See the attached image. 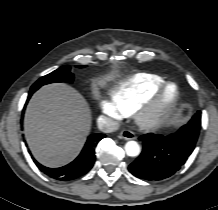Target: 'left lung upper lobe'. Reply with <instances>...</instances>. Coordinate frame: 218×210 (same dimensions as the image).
<instances>
[{
    "label": "left lung upper lobe",
    "mask_w": 218,
    "mask_h": 210,
    "mask_svg": "<svg viewBox=\"0 0 218 210\" xmlns=\"http://www.w3.org/2000/svg\"><path fill=\"white\" fill-rule=\"evenodd\" d=\"M201 127V112L198 111L187 125H184L181 129L187 134V136L193 135L198 137Z\"/></svg>",
    "instance_id": "1"
}]
</instances>
